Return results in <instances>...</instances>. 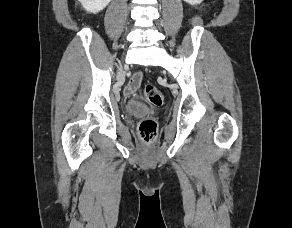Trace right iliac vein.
I'll return each mask as SVG.
<instances>
[{
    "label": "right iliac vein",
    "mask_w": 292,
    "mask_h": 228,
    "mask_svg": "<svg viewBox=\"0 0 292 228\" xmlns=\"http://www.w3.org/2000/svg\"><path fill=\"white\" fill-rule=\"evenodd\" d=\"M117 80H118V84H119V85L123 82V80H124V75H123L122 72H119V73H118Z\"/></svg>",
    "instance_id": "1"
}]
</instances>
